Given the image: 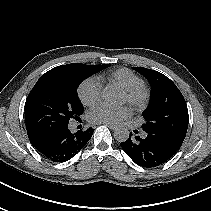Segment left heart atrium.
<instances>
[{
    "instance_id": "39dd6f15",
    "label": "left heart atrium",
    "mask_w": 211,
    "mask_h": 211,
    "mask_svg": "<svg viewBox=\"0 0 211 211\" xmlns=\"http://www.w3.org/2000/svg\"><path fill=\"white\" fill-rule=\"evenodd\" d=\"M130 115L126 106L112 107L107 104H100L94 107L89 113V120L93 123H118Z\"/></svg>"
}]
</instances>
